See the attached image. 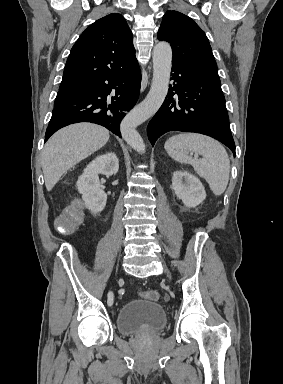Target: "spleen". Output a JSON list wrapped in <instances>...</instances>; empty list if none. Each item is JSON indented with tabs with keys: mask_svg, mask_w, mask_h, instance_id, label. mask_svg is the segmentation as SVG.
Segmentation results:
<instances>
[{
	"mask_svg": "<svg viewBox=\"0 0 283 384\" xmlns=\"http://www.w3.org/2000/svg\"><path fill=\"white\" fill-rule=\"evenodd\" d=\"M164 148L176 162L191 164L194 172L206 180L215 196L225 192L229 182L230 160L222 144L201 134H178L169 138ZM184 150L201 154V160L187 156Z\"/></svg>",
	"mask_w": 283,
	"mask_h": 384,
	"instance_id": "spleen-1",
	"label": "spleen"
}]
</instances>
